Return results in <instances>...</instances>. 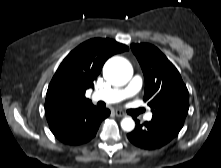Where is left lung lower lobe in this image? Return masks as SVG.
Masks as SVG:
<instances>
[{
  "label": "left lung lower lobe",
  "mask_w": 221,
  "mask_h": 168,
  "mask_svg": "<svg viewBox=\"0 0 221 168\" xmlns=\"http://www.w3.org/2000/svg\"><path fill=\"white\" fill-rule=\"evenodd\" d=\"M135 129L127 134L135 146L143 149H156L164 146L177 136L180 130L163 122L151 120L140 124L135 119Z\"/></svg>",
  "instance_id": "obj_1"
}]
</instances>
